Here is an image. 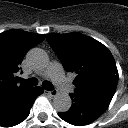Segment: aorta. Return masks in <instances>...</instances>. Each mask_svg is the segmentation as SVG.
I'll return each instance as SVG.
<instances>
[{"label": "aorta", "mask_w": 128, "mask_h": 128, "mask_svg": "<svg viewBox=\"0 0 128 128\" xmlns=\"http://www.w3.org/2000/svg\"><path fill=\"white\" fill-rule=\"evenodd\" d=\"M28 61L36 67H42L47 63V57L42 49L34 48L27 54ZM72 105V100L67 93H58L53 98V107L58 112H67Z\"/></svg>", "instance_id": "1"}]
</instances>
